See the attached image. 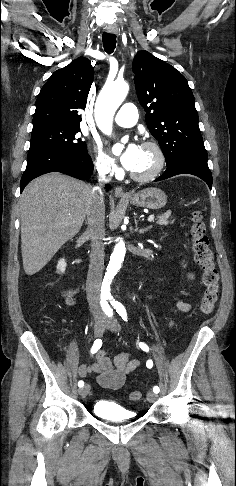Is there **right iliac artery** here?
<instances>
[{
  "instance_id": "obj_1",
  "label": "right iliac artery",
  "mask_w": 236,
  "mask_h": 486,
  "mask_svg": "<svg viewBox=\"0 0 236 486\" xmlns=\"http://www.w3.org/2000/svg\"><path fill=\"white\" fill-rule=\"evenodd\" d=\"M103 309H104L105 313L109 317H111L113 315V310L110 308V306L107 303L104 304V308ZM101 346H102V340L101 339H96L95 342H94V344H93V346H92V348H91V353L92 354L96 353L100 349ZM78 386L79 387H83L84 386V382L82 380L79 381L78 382Z\"/></svg>"
}]
</instances>
